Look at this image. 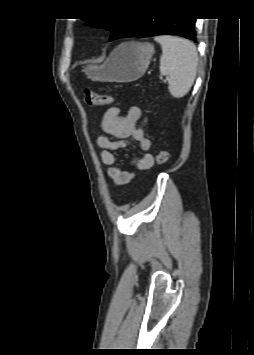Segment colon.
Returning a JSON list of instances; mask_svg holds the SVG:
<instances>
[{
  "instance_id": "colon-1",
  "label": "colon",
  "mask_w": 254,
  "mask_h": 355,
  "mask_svg": "<svg viewBox=\"0 0 254 355\" xmlns=\"http://www.w3.org/2000/svg\"><path fill=\"white\" fill-rule=\"evenodd\" d=\"M85 99L89 106H105L113 102V97L106 93H97L87 89L85 91ZM169 159V154L165 150H159L156 155V163L164 165Z\"/></svg>"
}]
</instances>
